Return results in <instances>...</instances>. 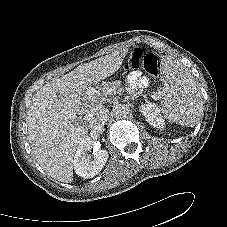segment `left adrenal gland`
<instances>
[{
    "instance_id": "left-adrenal-gland-1",
    "label": "left adrenal gland",
    "mask_w": 227,
    "mask_h": 227,
    "mask_svg": "<svg viewBox=\"0 0 227 227\" xmlns=\"http://www.w3.org/2000/svg\"><path fill=\"white\" fill-rule=\"evenodd\" d=\"M137 94H134L133 96H126L125 97V101H127L128 102V100H134V97L136 96Z\"/></svg>"
}]
</instances>
